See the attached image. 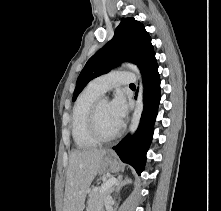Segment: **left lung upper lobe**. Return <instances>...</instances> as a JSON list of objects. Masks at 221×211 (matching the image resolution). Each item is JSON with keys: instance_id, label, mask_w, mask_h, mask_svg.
Masks as SVG:
<instances>
[{"instance_id": "left-lung-upper-lobe-1", "label": "left lung upper lobe", "mask_w": 221, "mask_h": 211, "mask_svg": "<svg viewBox=\"0 0 221 211\" xmlns=\"http://www.w3.org/2000/svg\"><path fill=\"white\" fill-rule=\"evenodd\" d=\"M155 55L151 38L142 23L134 18H122L114 37L85 64L81 71L72 101H75L86 84L116 67L121 61L135 63L142 71L148 60Z\"/></svg>"}]
</instances>
